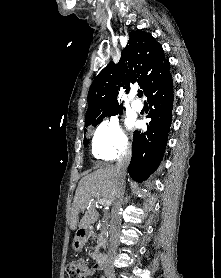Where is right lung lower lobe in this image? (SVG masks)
Instances as JSON below:
<instances>
[{
    "instance_id": "obj_1",
    "label": "right lung lower lobe",
    "mask_w": 221,
    "mask_h": 278,
    "mask_svg": "<svg viewBox=\"0 0 221 278\" xmlns=\"http://www.w3.org/2000/svg\"><path fill=\"white\" fill-rule=\"evenodd\" d=\"M150 105L147 131L134 132L132 158L128 173L132 179L146 180L160 164L171 125L173 83L170 72L152 85L145 93Z\"/></svg>"
}]
</instances>
